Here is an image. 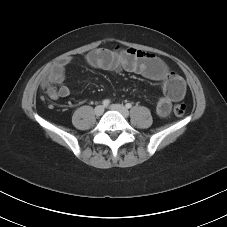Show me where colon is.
<instances>
[{"mask_svg":"<svg viewBox=\"0 0 227 227\" xmlns=\"http://www.w3.org/2000/svg\"><path fill=\"white\" fill-rule=\"evenodd\" d=\"M42 87L46 90L47 94L51 97L54 94L55 88L52 83L48 80H43ZM173 112L176 116L181 117L186 112V106L184 104H176L173 107Z\"/></svg>","mask_w":227,"mask_h":227,"instance_id":"1","label":"colon"}]
</instances>
